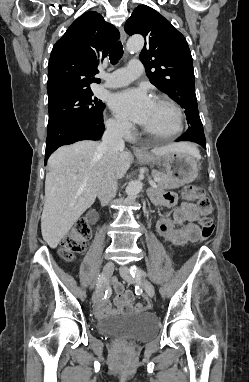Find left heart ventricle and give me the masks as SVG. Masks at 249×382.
<instances>
[{"label": "left heart ventricle", "mask_w": 249, "mask_h": 382, "mask_svg": "<svg viewBox=\"0 0 249 382\" xmlns=\"http://www.w3.org/2000/svg\"><path fill=\"white\" fill-rule=\"evenodd\" d=\"M142 127L157 135L171 134L176 129L175 113L168 105L155 101Z\"/></svg>", "instance_id": "left-heart-ventricle-1"}]
</instances>
